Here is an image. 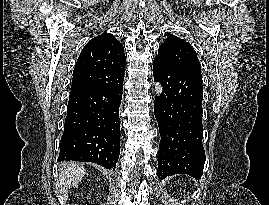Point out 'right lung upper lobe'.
Returning <instances> with one entry per match:
<instances>
[{"label": "right lung upper lobe", "instance_id": "right-lung-upper-lobe-1", "mask_svg": "<svg viewBox=\"0 0 269 205\" xmlns=\"http://www.w3.org/2000/svg\"><path fill=\"white\" fill-rule=\"evenodd\" d=\"M123 45L109 33L91 39L75 64L71 93L117 84L125 71Z\"/></svg>", "mask_w": 269, "mask_h": 205}]
</instances>
